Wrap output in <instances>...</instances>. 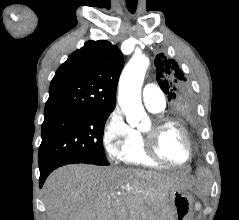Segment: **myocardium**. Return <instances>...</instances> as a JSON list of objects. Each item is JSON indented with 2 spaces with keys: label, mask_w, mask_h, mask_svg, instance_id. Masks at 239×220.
<instances>
[{
  "label": "myocardium",
  "mask_w": 239,
  "mask_h": 220,
  "mask_svg": "<svg viewBox=\"0 0 239 220\" xmlns=\"http://www.w3.org/2000/svg\"><path fill=\"white\" fill-rule=\"evenodd\" d=\"M173 126L182 134L187 146V157L182 162H174L164 157L158 148V138L160 132L166 127ZM144 149L149 157L160 163L180 167L186 165L192 158V143L187 129L178 121L164 115H155L149 119V126L146 129H140Z\"/></svg>",
  "instance_id": "myocardium-1"
}]
</instances>
